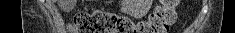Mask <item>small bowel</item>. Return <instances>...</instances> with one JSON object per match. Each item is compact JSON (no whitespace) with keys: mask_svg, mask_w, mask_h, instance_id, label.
Instances as JSON below:
<instances>
[{"mask_svg":"<svg viewBox=\"0 0 235 33\" xmlns=\"http://www.w3.org/2000/svg\"><path fill=\"white\" fill-rule=\"evenodd\" d=\"M149 6V0H139L134 3L132 10L135 14H142L148 10Z\"/></svg>","mask_w":235,"mask_h":33,"instance_id":"c3829d8e","label":"small bowel"}]
</instances>
